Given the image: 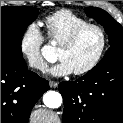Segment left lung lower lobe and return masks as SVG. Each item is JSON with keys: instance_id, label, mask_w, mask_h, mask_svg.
<instances>
[{"instance_id": "left-lung-lower-lobe-1", "label": "left lung lower lobe", "mask_w": 123, "mask_h": 123, "mask_svg": "<svg viewBox=\"0 0 123 123\" xmlns=\"http://www.w3.org/2000/svg\"><path fill=\"white\" fill-rule=\"evenodd\" d=\"M63 123H123V56L101 61L76 81L61 82Z\"/></svg>"}]
</instances>
